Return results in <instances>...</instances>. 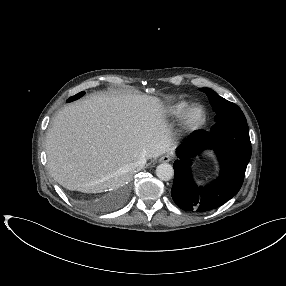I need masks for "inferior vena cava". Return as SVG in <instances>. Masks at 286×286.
<instances>
[{"label":"inferior vena cava","mask_w":286,"mask_h":286,"mask_svg":"<svg viewBox=\"0 0 286 286\" xmlns=\"http://www.w3.org/2000/svg\"><path fill=\"white\" fill-rule=\"evenodd\" d=\"M145 162H146L145 159H141V160L137 163L136 168H141V167H143V166L145 165Z\"/></svg>","instance_id":"obj_1"}]
</instances>
